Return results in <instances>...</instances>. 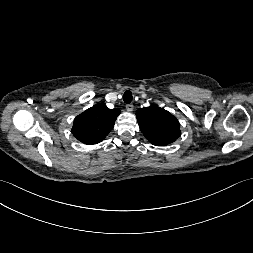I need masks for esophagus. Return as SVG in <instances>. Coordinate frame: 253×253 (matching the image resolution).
<instances>
[{
	"instance_id": "34e87169",
	"label": "esophagus",
	"mask_w": 253,
	"mask_h": 253,
	"mask_svg": "<svg viewBox=\"0 0 253 253\" xmlns=\"http://www.w3.org/2000/svg\"><path fill=\"white\" fill-rule=\"evenodd\" d=\"M133 109H134L133 104H127V105H126V110H127L128 112H132Z\"/></svg>"
}]
</instances>
